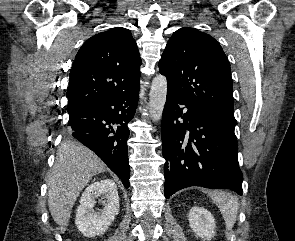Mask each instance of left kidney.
Masks as SVG:
<instances>
[{
    "instance_id": "obj_1",
    "label": "left kidney",
    "mask_w": 295,
    "mask_h": 241,
    "mask_svg": "<svg viewBox=\"0 0 295 241\" xmlns=\"http://www.w3.org/2000/svg\"><path fill=\"white\" fill-rule=\"evenodd\" d=\"M188 220L196 236L211 240L215 235V219L205 208L200 206L192 207L188 213Z\"/></svg>"
}]
</instances>
